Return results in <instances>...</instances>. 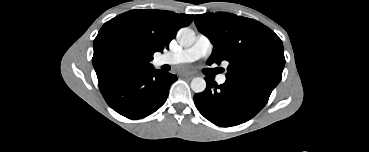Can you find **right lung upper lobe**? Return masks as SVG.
Segmentation results:
<instances>
[{"label":"right lung upper lobe","instance_id":"right-lung-upper-lobe-1","mask_svg":"<svg viewBox=\"0 0 369 152\" xmlns=\"http://www.w3.org/2000/svg\"><path fill=\"white\" fill-rule=\"evenodd\" d=\"M194 15L163 10L134 9L106 22L94 39L92 63L102 84L119 75L107 71L108 62L127 55L133 60L132 70L152 68L150 61L157 51L169 47L177 31L188 26Z\"/></svg>","mask_w":369,"mask_h":152}]
</instances>
